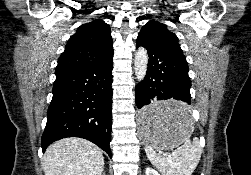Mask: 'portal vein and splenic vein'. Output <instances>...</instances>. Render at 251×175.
I'll list each match as a JSON object with an SVG mask.
<instances>
[{
	"mask_svg": "<svg viewBox=\"0 0 251 175\" xmlns=\"http://www.w3.org/2000/svg\"><path fill=\"white\" fill-rule=\"evenodd\" d=\"M167 157H170V154H167Z\"/></svg>",
	"mask_w": 251,
	"mask_h": 175,
	"instance_id": "18ae733b",
	"label": "portal vein and splenic vein"
}]
</instances>
